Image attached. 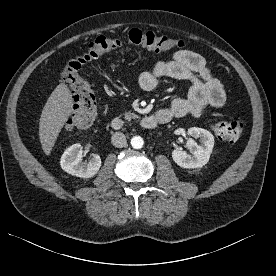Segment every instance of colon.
Returning <instances> with one entry per match:
<instances>
[{
	"mask_svg": "<svg viewBox=\"0 0 276 276\" xmlns=\"http://www.w3.org/2000/svg\"><path fill=\"white\" fill-rule=\"evenodd\" d=\"M179 39L156 34L153 31L132 29L118 38L100 36L92 40L80 52L64 61L61 78L65 82L72 99V113L65 122L68 129L91 126L97 116V101L94 92L85 79L79 75L81 66L104 54L128 48L142 47L152 51H168L182 46ZM214 134L227 140H237L244 129L240 120L218 121L212 125Z\"/></svg>",
	"mask_w": 276,
	"mask_h": 276,
	"instance_id": "colon-1",
	"label": "colon"
}]
</instances>
